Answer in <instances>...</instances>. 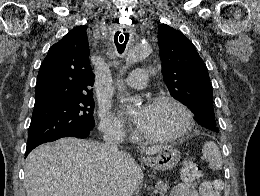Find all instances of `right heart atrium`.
<instances>
[{
	"instance_id": "obj_1",
	"label": "right heart atrium",
	"mask_w": 260,
	"mask_h": 196,
	"mask_svg": "<svg viewBox=\"0 0 260 196\" xmlns=\"http://www.w3.org/2000/svg\"><path fill=\"white\" fill-rule=\"evenodd\" d=\"M99 116H100V127L103 131L107 132L111 130L125 129V125L121 117L113 113L109 107L107 106L102 107Z\"/></svg>"
}]
</instances>
